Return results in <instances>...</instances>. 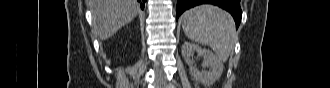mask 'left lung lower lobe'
I'll return each mask as SVG.
<instances>
[{
  "label": "left lung lower lobe",
  "mask_w": 330,
  "mask_h": 88,
  "mask_svg": "<svg viewBox=\"0 0 330 88\" xmlns=\"http://www.w3.org/2000/svg\"><path fill=\"white\" fill-rule=\"evenodd\" d=\"M200 4H213L227 10L235 20L236 29L240 25L242 17L240 0H178L177 19L185 10Z\"/></svg>",
  "instance_id": "1"
}]
</instances>
